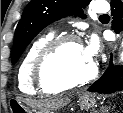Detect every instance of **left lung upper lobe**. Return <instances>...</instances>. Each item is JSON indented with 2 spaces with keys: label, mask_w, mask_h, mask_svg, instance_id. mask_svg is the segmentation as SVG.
Listing matches in <instances>:
<instances>
[{
  "label": "left lung upper lobe",
  "mask_w": 123,
  "mask_h": 113,
  "mask_svg": "<svg viewBox=\"0 0 123 113\" xmlns=\"http://www.w3.org/2000/svg\"><path fill=\"white\" fill-rule=\"evenodd\" d=\"M90 0H31L23 11L14 38L12 64H15L32 39L47 25L67 15L85 18L82 8Z\"/></svg>",
  "instance_id": "5c2ea615"
}]
</instances>
